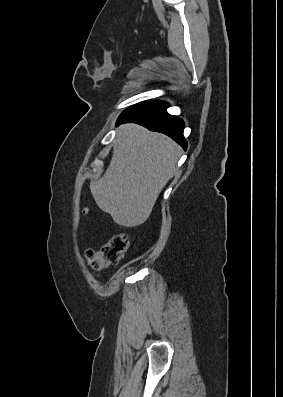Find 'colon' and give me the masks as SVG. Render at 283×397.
I'll return each mask as SVG.
<instances>
[{"label": "colon", "instance_id": "obj_1", "mask_svg": "<svg viewBox=\"0 0 283 397\" xmlns=\"http://www.w3.org/2000/svg\"><path fill=\"white\" fill-rule=\"evenodd\" d=\"M130 245L126 234H117L110 238L100 249L88 250L85 258L93 271L118 263Z\"/></svg>", "mask_w": 283, "mask_h": 397}]
</instances>
